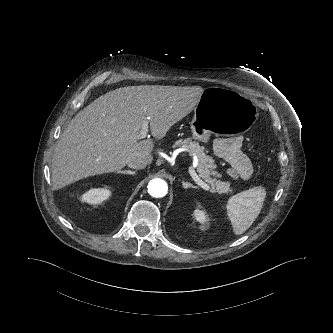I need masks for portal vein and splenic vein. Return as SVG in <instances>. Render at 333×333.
<instances>
[{
  "label": "portal vein and splenic vein",
  "instance_id": "obj_1",
  "mask_svg": "<svg viewBox=\"0 0 333 333\" xmlns=\"http://www.w3.org/2000/svg\"><path fill=\"white\" fill-rule=\"evenodd\" d=\"M148 119L149 118H146L143 120V123H142V128H141V131H140V134H139V139H144L147 134H148ZM194 165H197V159H194V162H193ZM190 175L191 177L193 178V180L203 189L205 190H209L210 189V186L205 183L204 181H202L200 179V177L196 174L195 170L193 169V167H190Z\"/></svg>",
  "mask_w": 333,
  "mask_h": 333
}]
</instances>
